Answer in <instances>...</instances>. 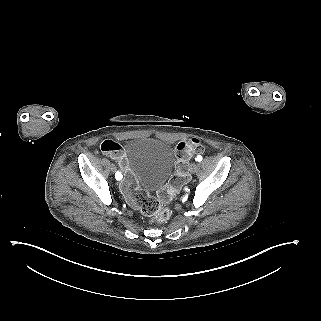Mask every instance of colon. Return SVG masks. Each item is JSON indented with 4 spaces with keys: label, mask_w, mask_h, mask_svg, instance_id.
Segmentation results:
<instances>
[{
    "label": "colon",
    "mask_w": 321,
    "mask_h": 321,
    "mask_svg": "<svg viewBox=\"0 0 321 321\" xmlns=\"http://www.w3.org/2000/svg\"><path fill=\"white\" fill-rule=\"evenodd\" d=\"M100 148L103 153L117 162L119 169L122 171L123 179L120 182V189L127 202L153 223L164 222L169 219L171 211L163 206L160 200L167 203L174 198L177 191L186 181L190 160L194 155L204 150L201 142L196 138L178 143L175 148L177 159L175 173L169 183L160 189L158 193L159 200L139 188L128 168L123 147L119 143L113 140H105Z\"/></svg>",
    "instance_id": "obj_1"
}]
</instances>
